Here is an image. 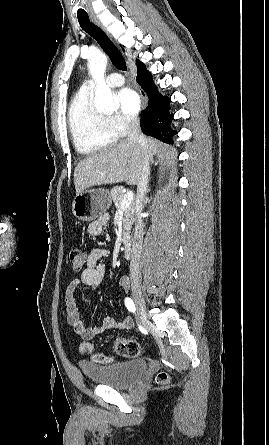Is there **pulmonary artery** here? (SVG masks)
Here are the masks:
<instances>
[{
  "mask_svg": "<svg viewBox=\"0 0 269 445\" xmlns=\"http://www.w3.org/2000/svg\"><path fill=\"white\" fill-rule=\"evenodd\" d=\"M106 82L110 87H118L124 84V78L119 73H112L106 78ZM86 89L93 90L94 82L93 80H87L84 82L83 86Z\"/></svg>",
  "mask_w": 269,
  "mask_h": 445,
  "instance_id": "obj_1",
  "label": "pulmonary artery"
}]
</instances>
